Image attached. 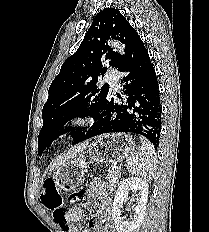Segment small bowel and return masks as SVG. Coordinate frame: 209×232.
I'll return each mask as SVG.
<instances>
[{
	"instance_id": "obj_1",
	"label": "small bowel",
	"mask_w": 209,
	"mask_h": 232,
	"mask_svg": "<svg viewBox=\"0 0 209 232\" xmlns=\"http://www.w3.org/2000/svg\"><path fill=\"white\" fill-rule=\"evenodd\" d=\"M76 189L71 190L69 195L73 205H84L85 199H87L86 190L89 189L88 197L95 201L99 221L96 222L93 219L89 221L92 230L88 228L80 229L77 223L83 217V210L81 207H73L65 213L67 226H60L62 230L64 232H117L115 226L110 223L112 220L111 198L103 184L98 180H94L91 182L90 187L88 185H77Z\"/></svg>"
}]
</instances>
